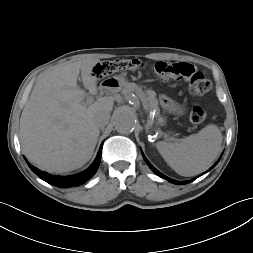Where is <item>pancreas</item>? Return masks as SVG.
Instances as JSON below:
<instances>
[{
    "instance_id": "cf45deb5",
    "label": "pancreas",
    "mask_w": 253,
    "mask_h": 253,
    "mask_svg": "<svg viewBox=\"0 0 253 253\" xmlns=\"http://www.w3.org/2000/svg\"><path fill=\"white\" fill-rule=\"evenodd\" d=\"M131 92H136L139 98L142 100V103L147 106V111H158V101L156 99V93L152 90L143 91L141 86L136 85L135 83H126L122 89V94L127 95Z\"/></svg>"
}]
</instances>
